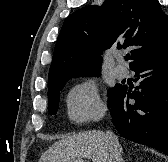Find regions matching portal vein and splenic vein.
I'll return each mask as SVG.
<instances>
[{"label": "portal vein and splenic vein", "instance_id": "1", "mask_svg": "<svg viewBox=\"0 0 168 162\" xmlns=\"http://www.w3.org/2000/svg\"><path fill=\"white\" fill-rule=\"evenodd\" d=\"M74 162H84V161L81 160V159H78V160H76V161H74Z\"/></svg>", "mask_w": 168, "mask_h": 162}]
</instances>
